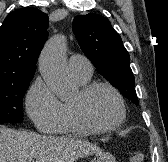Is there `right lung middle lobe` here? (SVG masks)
Masks as SVG:
<instances>
[{"instance_id": "dd1d6c3e", "label": "right lung middle lobe", "mask_w": 168, "mask_h": 162, "mask_svg": "<svg viewBox=\"0 0 168 162\" xmlns=\"http://www.w3.org/2000/svg\"><path fill=\"white\" fill-rule=\"evenodd\" d=\"M32 78L33 75L20 76L0 82V124L23 121V97Z\"/></svg>"}]
</instances>
